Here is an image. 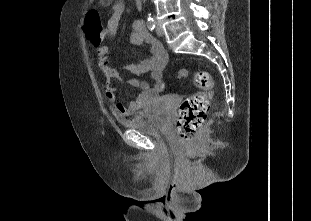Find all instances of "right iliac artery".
<instances>
[{"instance_id":"right-iliac-artery-1","label":"right iliac artery","mask_w":311,"mask_h":221,"mask_svg":"<svg viewBox=\"0 0 311 221\" xmlns=\"http://www.w3.org/2000/svg\"><path fill=\"white\" fill-rule=\"evenodd\" d=\"M147 27L150 31H153L155 28V22L153 19H148L147 21Z\"/></svg>"}]
</instances>
